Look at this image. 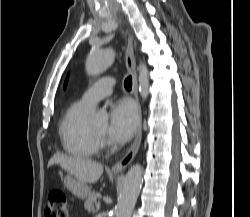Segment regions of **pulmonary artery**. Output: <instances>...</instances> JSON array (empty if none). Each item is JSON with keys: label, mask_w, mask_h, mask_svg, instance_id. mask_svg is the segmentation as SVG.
Listing matches in <instances>:
<instances>
[{"label": "pulmonary artery", "mask_w": 250, "mask_h": 217, "mask_svg": "<svg viewBox=\"0 0 250 217\" xmlns=\"http://www.w3.org/2000/svg\"><path fill=\"white\" fill-rule=\"evenodd\" d=\"M115 82L112 77H104L96 81L84 92L80 100L85 105L94 107L99 100L112 93Z\"/></svg>", "instance_id": "obj_1"}]
</instances>
